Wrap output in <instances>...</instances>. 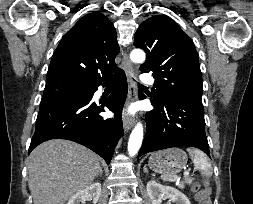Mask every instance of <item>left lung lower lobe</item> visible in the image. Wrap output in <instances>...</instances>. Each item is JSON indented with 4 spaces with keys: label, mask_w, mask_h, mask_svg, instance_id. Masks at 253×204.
Returning a JSON list of instances; mask_svg holds the SVG:
<instances>
[{
    "label": "left lung lower lobe",
    "mask_w": 253,
    "mask_h": 204,
    "mask_svg": "<svg viewBox=\"0 0 253 204\" xmlns=\"http://www.w3.org/2000/svg\"><path fill=\"white\" fill-rule=\"evenodd\" d=\"M151 102L154 110L146 113L151 128L138 158L148 152L180 146L196 147L210 156L201 98Z\"/></svg>",
    "instance_id": "1"
}]
</instances>
